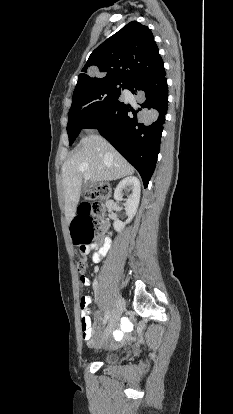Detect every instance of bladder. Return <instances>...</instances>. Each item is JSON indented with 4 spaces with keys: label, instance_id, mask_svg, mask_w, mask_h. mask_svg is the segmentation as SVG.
Listing matches in <instances>:
<instances>
[{
    "label": "bladder",
    "instance_id": "bladder-1",
    "mask_svg": "<svg viewBox=\"0 0 233 414\" xmlns=\"http://www.w3.org/2000/svg\"><path fill=\"white\" fill-rule=\"evenodd\" d=\"M115 359H116V356L114 354H107L104 357V361L107 362V363L114 362Z\"/></svg>",
    "mask_w": 233,
    "mask_h": 414
}]
</instances>
